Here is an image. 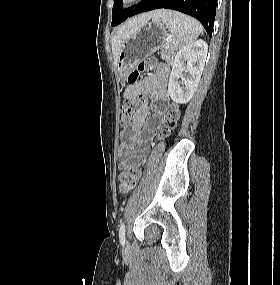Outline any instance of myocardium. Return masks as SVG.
<instances>
[{
    "label": "myocardium",
    "mask_w": 280,
    "mask_h": 285,
    "mask_svg": "<svg viewBox=\"0 0 280 285\" xmlns=\"http://www.w3.org/2000/svg\"><path fill=\"white\" fill-rule=\"evenodd\" d=\"M139 1L140 0H120L119 1V6L121 8H128V7H131V6L135 5Z\"/></svg>",
    "instance_id": "myocardium-1"
}]
</instances>
